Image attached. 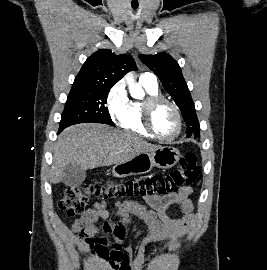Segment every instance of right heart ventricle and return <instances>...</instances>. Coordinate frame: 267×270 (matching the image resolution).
<instances>
[{
    "label": "right heart ventricle",
    "mask_w": 267,
    "mask_h": 270,
    "mask_svg": "<svg viewBox=\"0 0 267 270\" xmlns=\"http://www.w3.org/2000/svg\"><path fill=\"white\" fill-rule=\"evenodd\" d=\"M140 84L144 88L147 97L160 95V91L157 84H152L145 81H140ZM143 102L144 100L129 101L127 111L124 117L119 121V125L124 130L136 134L140 137L152 138L149 132L145 129L142 122Z\"/></svg>",
    "instance_id": "1"
}]
</instances>
